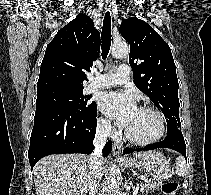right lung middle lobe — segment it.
Here are the masks:
<instances>
[{"label": "right lung middle lobe", "instance_id": "obj_1", "mask_svg": "<svg viewBox=\"0 0 211 195\" xmlns=\"http://www.w3.org/2000/svg\"><path fill=\"white\" fill-rule=\"evenodd\" d=\"M90 98V96L83 95V89H49L37 93L36 110L58 108L84 112L96 104L90 102Z\"/></svg>", "mask_w": 211, "mask_h": 195}]
</instances>
